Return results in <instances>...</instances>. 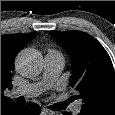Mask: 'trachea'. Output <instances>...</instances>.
Here are the masks:
<instances>
[{
  "instance_id": "obj_1",
  "label": "trachea",
  "mask_w": 115,
  "mask_h": 115,
  "mask_svg": "<svg viewBox=\"0 0 115 115\" xmlns=\"http://www.w3.org/2000/svg\"><path fill=\"white\" fill-rule=\"evenodd\" d=\"M70 101H67L63 104L64 108L67 106V104L69 103ZM51 110H59L60 108H57V107H49Z\"/></svg>"
}]
</instances>
